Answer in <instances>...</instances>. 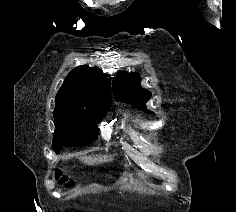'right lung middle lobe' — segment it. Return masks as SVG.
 I'll use <instances>...</instances> for the list:
<instances>
[{
	"label": "right lung middle lobe",
	"mask_w": 236,
	"mask_h": 212,
	"mask_svg": "<svg viewBox=\"0 0 236 212\" xmlns=\"http://www.w3.org/2000/svg\"><path fill=\"white\" fill-rule=\"evenodd\" d=\"M110 107L111 100L102 101L98 107L91 109L56 106L54 151L58 153L62 147L82 146L93 142L98 134L96 124Z\"/></svg>",
	"instance_id": "obj_1"
}]
</instances>
